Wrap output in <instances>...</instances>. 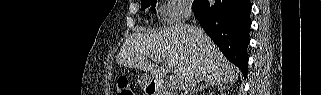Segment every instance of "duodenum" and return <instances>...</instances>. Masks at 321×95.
Here are the masks:
<instances>
[{"label": "duodenum", "instance_id": "410a0bca", "mask_svg": "<svg viewBox=\"0 0 321 95\" xmlns=\"http://www.w3.org/2000/svg\"><path fill=\"white\" fill-rule=\"evenodd\" d=\"M150 86L154 85V80L149 81ZM157 94H163V93H157ZM165 94V93H164Z\"/></svg>", "mask_w": 321, "mask_h": 95}]
</instances>
